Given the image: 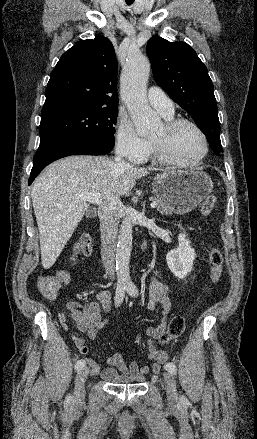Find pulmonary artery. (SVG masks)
Listing matches in <instances>:
<instances>
[{
    "label": "pulmonary artery",
    "instance_id": "e3ab8cb5",
    "mask_svg": "<svg viewBox=\"0 0 257 439\" xmlns=\"http://www.w3.org/2000/svg\"><path fill=\"white\" fill-rule=\"evenodd\" d=\"M147 98L149 103L164 117L174 114L173 103L161 88L156 86L150 87Z\"/></svg>",
    "mask_w": 257,
    "mask_h": 439
}]
</instances>
